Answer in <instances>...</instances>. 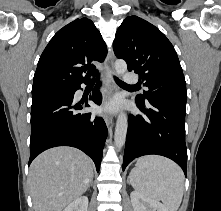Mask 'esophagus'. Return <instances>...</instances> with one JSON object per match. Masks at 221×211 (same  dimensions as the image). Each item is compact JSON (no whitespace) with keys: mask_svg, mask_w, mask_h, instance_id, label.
<instances>
[{"mask_svg":"<svg viewBox=\"0 0 221 211\" xmlns=\"http://www.w3.org/2000/svg\"><path fill=\"white\" fill-rule=\"evenodd\" d=\"M106 77H107V91L106 95L104 96V104L106 105L109 101L111 95L116 90V85L113 80V76L115 75L114 71V55L113 52H109L106 57ZM103 118L106 125L109 127L113 120V115L108 111L103 113Z\"/></svg>","mask_w":221,"mask_h":211,"instance_id":"1","label":"esophagus"}]
</instances>
